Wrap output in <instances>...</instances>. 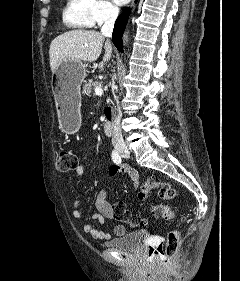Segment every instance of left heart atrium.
<instances>
[{
	"label": "left heart atrium",
	"instance_id": "obj_1",
	"mask_svg": "<svg viewBox=\"0 0 240 281\" xmlns=\"http://www.w3.org/2000/svg\"><path fill=\"white\" fill-rule=\"evenodd\" d=\"M114 1L119 5H123V4H126L127 2H129L130 0H114Z\"/></svg>",
	"mask_w": 240,
	"mask_h": 281
}]
</instances>
